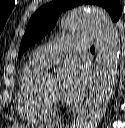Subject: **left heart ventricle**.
Returning <instances> with one entry per match:
<instances>
[{"label": "left heart ventricle", "instance_id": "left-heart-ventricle-1", "mask_svg": "<svg viewBox=\"0 0 125 128\" xmlns=\"http://www.w3.org/2000/svg\"><path fill=\"white\" fill-rule=\"evenodd\" d=\"M42 89L46 94L51 97L58 98V83L57 80H52L49 83L45 84Z\"/></svg>", "mask_w": 125, "mask_h": 128}]
</instances>
